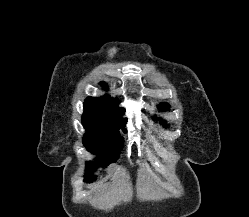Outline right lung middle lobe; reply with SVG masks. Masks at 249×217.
<instances>
[{
    "label": "right lung middle lobe",
    "instance_id": "obj_1",
    "mask_svg": "<svg viewBox=\"0 0 249 217\" xmlns=\"http://www.w3.org/2000/svg\"><path fill=\"white\" fill-rule=\"evenodd\" d=\"M82 124L87 131L83 138L84 146L89 152L99 155L97 161L87 163L85 181L92 182L96 177H92L90 172L117 160L123 143L119 130L121 126L123 132L127 130L118 120L85 109Z\"/></svg>",
    "mask_w": 249,
    "mask_h": 217
}]
</instances>
